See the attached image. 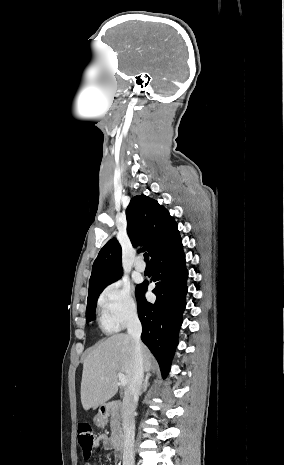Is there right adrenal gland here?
<instances>
[{"label":"right adrenal gland","instance_id":"obj_1","mask_svg":"<svg viewBox=\"0 0 284 465\" xmlns=\"http://www.w3.org/2000/svg\"><path fill=\"white\" fill-rule=\"evenodd\" d=\"M150 377H152L151 373H147V375L145 377V381L143 383L142 391H141L139 397H141L142 393H145V391H147V389L149 387V379H150Z\"/></svg>","mask_w":284,"mask_h":465}]
</instances>
